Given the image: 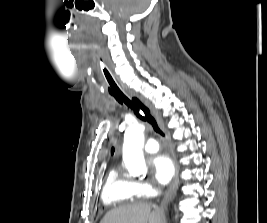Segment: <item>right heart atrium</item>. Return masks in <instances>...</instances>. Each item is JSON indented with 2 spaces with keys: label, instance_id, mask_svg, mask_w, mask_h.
<instances>
[{
  "label": "right heart atrium",
  "instance_id": "d8ad5b80",
  "mask_svg": "<svg viewBox=\"0 0 267 223\" xmlns=\"http://www.w3.org/2000/svg\"><path fill=\"white\" fill-rule=\"evenodd\" d=\"M135 184H136L137 192L140 195L148 196V195H151L154 191L150 184H147L144 182H136Z\"/></svg>",
  "mask_w": 267,
  "mask_h": 223
}]
</instances>
